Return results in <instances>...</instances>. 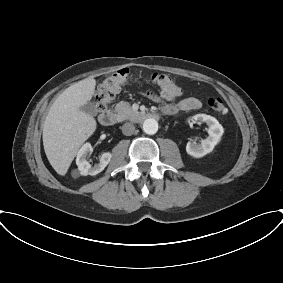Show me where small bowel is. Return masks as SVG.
Returning <instances> with one entry per match:
<instances>
[{
  "mask_svg": "<svg viewBox=\"0 0 283 283\" xmlns=\"http://www.w3.org/2000/svg\"><path fill=\"white\" fill-rule=\"evenodd\" d=\"M178 91L180 94L179 88ZM151 97L154 99L157 98L155 95H151ZM176 97L166 98V100H174ZM200 106L201 102L199 101V99H197L196 97H187L180 100L176 105L169 107L168 110H170L173 114H177L179 112L195 111L199 109Z\"/></svg>",
  "mask_w": 283,
  "mask_h": 283,
  "instance_id": "c3829d8e",
  "label": "small bowel"
}]
</instances>
